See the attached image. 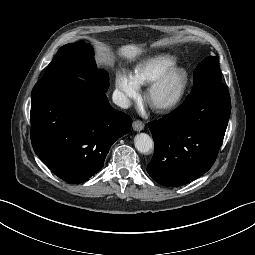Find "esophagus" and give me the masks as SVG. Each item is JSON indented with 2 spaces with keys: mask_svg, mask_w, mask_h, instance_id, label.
Returning a JSON list of instances; mask_svg holds the SVG:
<instances>
[{
  "mask_svg": "<svg viewBox=\"0 0 255 255\" xmlns=\"http://www.w3.org/2000/svg\"><path fill=\"white\" fill-rule=\"evenodd\" d=\"M132 126L135 131H141L145 127L144 123L140 120L134 121Z\"/></svg>",
  "mask_w": 255,
  "mask_h": 255,
  "instance_id": "esophagus-1",
  "label": "esophagus"
}]
</instances>
